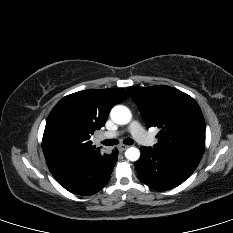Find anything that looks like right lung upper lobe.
Masks as SVG:
<instances>
[{"label":"right lung upper lobe","instance_id":"1","mask_svg":"<svg viewBox=\"0 0 233 233\" xmlns=\"http://www.w3.org/2000/svg\"><path fill=\"white\" fill-rule=\"evenodd\" d=\"M128 96L116 88L89 89L62 98L46 121L42 140L46 160L98 152L90 136L105 124L111 108Z\"/></svg>","mask_w":233,"mask_h":233}]
</instances>
